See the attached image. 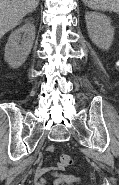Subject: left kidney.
I'll return each mask as SVG.
<instances>
[{"mask_svg":"<svg viewBox=\"0 0 119 185\" xmlns=\"http://www.w3.org/2000/svg\"><path fill=\"white\" fill-rule=\"evenodd\" d=\"M85 20L91 41L97 47L108 50L114 38V27L111 25V20L99 12H87Z\"/></svg>","mask_w":119,"mask_h":185,"instance_id":"obj_1","label":"left kidney"}]
</instances>
